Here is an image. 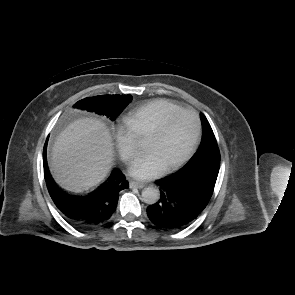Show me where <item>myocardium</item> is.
<instances>
[{
  "instance_id": "myocardium-1",
  "label": "myocardium",
  "mask_w": 295,
  "mask_h": 295,
  "mask_svg": "<svg viewBox=\"0 0 295 295\" xmlns=\"http://www.w3.org/2000/svg\"><path fill=\"white\" fill-rule=\"evenodd\" d=\"M181 114H189L194 118L195 134H194L193 140L191 142V145H190L189 149L186 151V153L181 158L176 160L175 162L163 167V169H162L163 172H168V171L177 169L180 166H182L184 163H186L192 157V155L194 154V152L198 146V142H199L200 135H201V121H200L198 114L191 109H180V110L172 112L171 114L166 116L161 121V123L157 126V128L147 137V140L159 139L164 134L170 121L173 118H175L176 116L181 115Z\"/></svg>"
}]
</instances>
